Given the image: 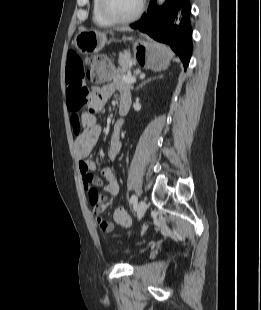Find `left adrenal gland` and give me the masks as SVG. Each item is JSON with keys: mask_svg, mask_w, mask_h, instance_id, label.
Instances as JSON below:
<instances>
[{"mask_svg": "<svg viewBox=\"0 0 261 310\" xmlns=\"http://www.w3.org/2000/svg\"><path fill=\"white\" fill-rule=\"evenodd\" d=\"M162 77H163V75H159L158 77L149 78V79L143 81V82L136 88V91L139 90L140 88H142L144 85H146V83H149V82L152 81V80H155V79H157V78H162Z\"/></svg>", "mask_w": 261, "mask_h": 310, "instance_id": "1", "label": "left adrenal gland"}]
</instances>
